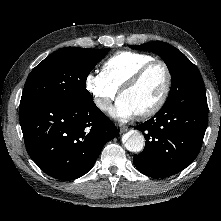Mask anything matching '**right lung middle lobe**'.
<instances>
[{"instance_id":"dd1d6c3e","label":"right lung middle lobe","mask_w":221,"mask_h":221,"mask_svg":"<svg viewBox=\"0 0 221 221\" xmlns=\"http://www.w3.org/2000/svg\"><path fill=\"white\" fill-rule=\"evenodd\" d=\"M109 50L77 47L57 50L31 71L21 102L91 100L86 78Z\"/></svg>"}]
</instances>
